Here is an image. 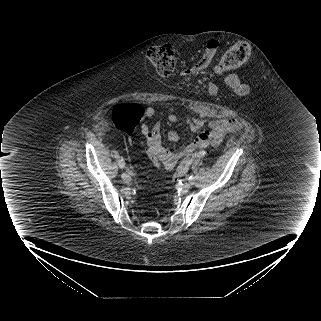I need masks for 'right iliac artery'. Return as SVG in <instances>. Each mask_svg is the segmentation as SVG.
Wrapping results in <instances>:
<instances>
[{
	"label": "right iliac artery",
	"instance_id": "1",
	"mask_svg": "<svg viewBox=\"0 0 321 321\" xmlns=\"http://www.w3.org/2000/svg\"><path fill=\"white\" fill-rule=\"evenodd\" d=\"M118 164H119L120 168H124V166H125V162H124L123 159H120V160L118 161Z\"/></svg>",
	"mask_w": 321,
	"mask_h": 321
}]
</instances>
